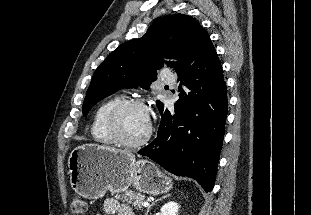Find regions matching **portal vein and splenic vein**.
<instances>
[{
  "label": "portal vein and splenic vein",
  "instance_id": "obj_1",
  "mask_svg": "<svg viewBox=\"0 0 311 215\" xmlns=\"http://www.w3.org/2000/svg\"><path fill=\"white\" fill-rule=\"evenodd\" d=\"M142 206H144V207H148V206H149V203H148V202H146V201H144V202H142Z\"/></svg>",
  "mask_w": 311,
  "mask_h": 215
}]
</instances>
